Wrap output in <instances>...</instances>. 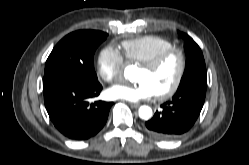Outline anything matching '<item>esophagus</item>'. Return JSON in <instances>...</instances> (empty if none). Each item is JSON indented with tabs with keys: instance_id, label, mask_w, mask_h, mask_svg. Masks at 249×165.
Wrapping results in <instances>:
<instances>
[{
	"instance_id": "34e87169",
	"label": "esophagus",
	"mask_w": 249,
	"mask_h": 165,
	"mask_svg": "<svg viewBox=\"0 0 249 165\" xmlns=\"http://www.w3.org/2000/svg\"><path fill=\"white\" fill-rule=\"evenodd\" d=\"M130 106L132 108H138L140 106V104L139 103H130Z\"/></svg>"
}]
</instances>
